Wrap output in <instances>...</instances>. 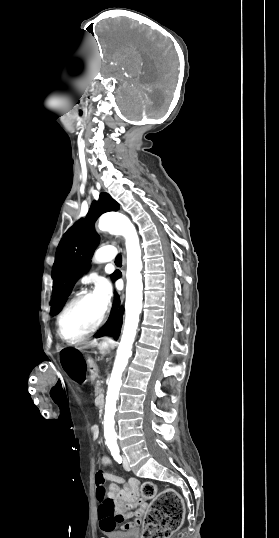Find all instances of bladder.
<instances>
[{"mask_svg":"<svg viewBox=\"0 0 279 538\" xmlns=\"http://www.w3.org/2000/svg\"><path fill=\"white\" fill-rule=\"evenodd\" d=\"M108 538H139L138 532H109Z\"/></svg>","mask_w":279,"mask_h":538,"instance_id":"obj_1","label":"bladder"}]
</instances>
